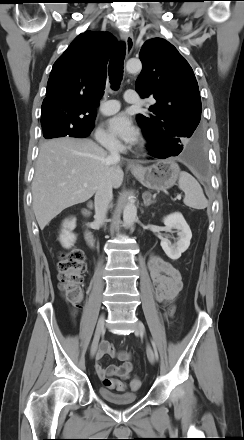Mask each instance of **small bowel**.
<instances>
[{
	"instance_id": "small-bowel-1",
	"label": "small bowel",
	"mask_w": 244,
	"mask_h": 440,
	"mask_svg": "<svg viewBox=\"0 0 244 440\" xmlns=\"http://www.w3.org/2000/svg\"><path fill=\"white\" fill-rule=\"evenodd\" d=\"M149 271L156 299L164 307V317H171L175 308L173 302L183 286L181 274L171 263L155 254L150 256ZM105 355L117 358L123 363L121 365L112 364L105 367L102 364V358ZM95 369L101 380L107 376L128 379L133 370L131 353L123 350L117 351L109 342L102 341L96 355Z\"/></svg>"
}]
</instances>
